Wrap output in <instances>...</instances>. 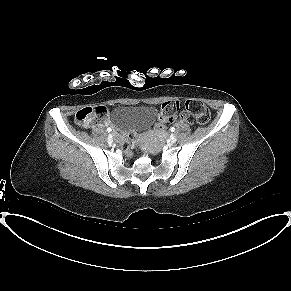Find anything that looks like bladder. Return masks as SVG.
Instances as JSON below:
<instances>
[{"label": "bladder", "mask_w": 291, "mask_h": 291, "mask_svg": "<svg viewBox=\"0 0 291 291\" xmlns=\"http://www.w3.org/2000/svg\"><path fill=\"white\" fill-rule=\"evenodd\" d=\"M155 116V109L151 106L118 104L113 108L110 120L115 130L132 132L150 126Z\"/></svg>", "instance_id": "obj_1"}]
</instances>
